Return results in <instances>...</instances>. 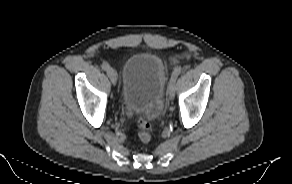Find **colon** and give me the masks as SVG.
<instances>
[{
    "label": "colon",
    "mask_w": 292,
    "mask_h": 184,
    "mask_svg": "<svg viewBox=\"0 0 292 184\" xmlns=\"http://www.w3.org/2000/svg\"><path fill=\"white\" fill-rule=\"evenodd\" d=\"M138 137L143 143H147L151 140V125L144 118L138 119Z\"/></svg>",
    "instance_id": "5ec220e1"
}]
</instances>
